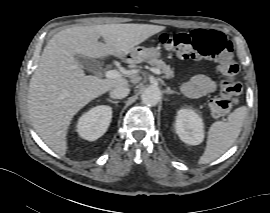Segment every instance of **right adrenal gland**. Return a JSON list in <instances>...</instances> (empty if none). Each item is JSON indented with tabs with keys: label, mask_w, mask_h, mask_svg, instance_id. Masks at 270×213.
Returning a JSON list of instances; mask_svg holds the SVG:
<instances>
[{
	"label": "right adrenal gland",
	"mask_w": 270,
	"mask_h": 213,
	"mask_svg": "<svg viewBox=\"0 0 270 213\" xmlns=\"http://www.w3.org/2000/svg\"><path fill=\"white\" fill-rule=\"evenodd\" d=\"M107 101H108V102H111V103H114V104H118V103H119V101H114V100H112V99H110V98H108Z\"/></svg>",
	"instance_id": "right-adrenal-gland-1"
}]
</instances>
